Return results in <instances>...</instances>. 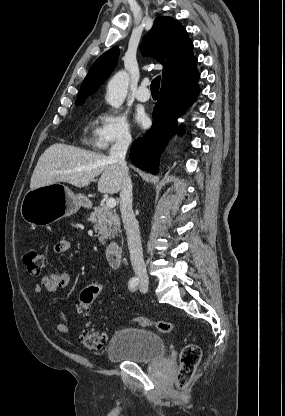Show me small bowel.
<instances>
[{
    "mask_svg": "<svg viewBox=\"0 0 285 416\" xmlns=\"http://www.w3.org/2000/svg\"><path fill=\"white\" fill-rule=\"evenodd\" d=\"M70 246L71 244L68 240L62 239L55 244L54 250L57 253H64L70 249ZM70 283L71 276L68 272L63 270H55L50 274L44 276L40 282L34 286V291L37 294H41L43 292L55 293L68 288ZM49 313L56 320L55 330L59 334H68L69 329L64 315L55 310H49Z\"/></svg>",
    "mask_w": 285,
    "mask_h": 416,
    "instance_id": "obj_1",
    "label": "small bowel"
}]
</instances>
